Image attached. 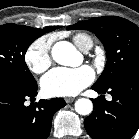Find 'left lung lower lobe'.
Instances as JSON below:
<instances>
[{
	"instance_id": "1",
	"label": "left lung lower lobe",
	"mask_w": 139,
	"mask_h": 139,
	"mask_svg": "<svg viewBox=\"0 0 139 139\" xmlns=\"http://www.w3.org/2000/svg\"><path fill=\"white\" fill-rule=\"evenodd\" d=\"M92 89L112 95L108 102L101 95L93 100L94 109L84 120L93 139H130L139 128V67L118 77L109 87Z\"/></svg>"
}]
</instances>
